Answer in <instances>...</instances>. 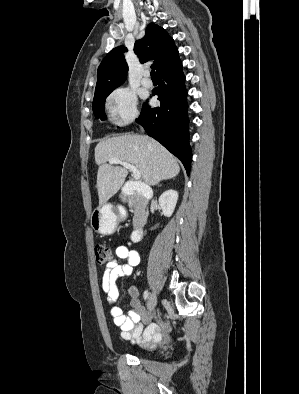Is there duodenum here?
Returning <instances> with one entry per match:
<instances>
[{
  "mask_svg": "<svg viewBox=\"0 0 299 394\" xmlns=\"http://www.w3.org/2000/svg\"><path fill=\"white\" fill-rule=\"evenodd\" d=\"M128 192H137L144 200H149L152 198V190L149 186H147L144 183H140V182H134L132 185H130L127 189ZM145 222H146V218L143 217L142 219L139 220L137 226L135 227V229L133 230L132 234H131V239L133 242H139L141 239V236L143 234L144 231V227H145Z\"/></svg>",
  "mask_w": 299,
  "mask_h": 394,
  "instance_id": "1",
  "label": "duodenum"
}]
</instances>
